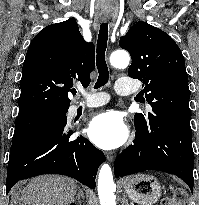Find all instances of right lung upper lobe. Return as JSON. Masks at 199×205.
Returning <instances> with one entry per match:
<instances>
[{"mask_svg":"<svg viewBox=\"0 0 199 205\" xmlns=\"http://www.w3.org/2000/svg\"><path fill=\"white\" fill-rule=\"evenodd\" d=\"M95 47L83 39L75 19L45 27L31 41L22 69L18 115L69 108L75 82L88 86Z\"/></svg>","mask_w":199,"mask_h":205,"instance_id":"right-lung-upper-lobe-1","label":"right lung upper lobe"}]
</instances>
